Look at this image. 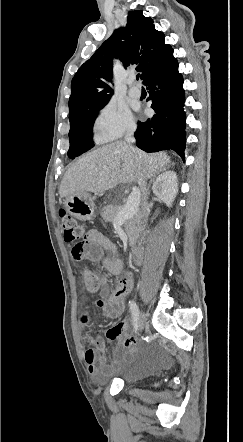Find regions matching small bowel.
Segmentation results:
<instances>
[{
	"mask_svg": "<svg viewBox=\"0 0 243 442\" xmlns=\"http://www.w3.org/2000/svg\"><path fill=\"white\" fill-rule=\"evenodd\" d=\"M85 239L87 246L83 258L100 264L112 275L123 274V260L118 256L116 246L109 238L101 231L91 229L86 233ZM101 281L103 287L98 292L99 299L96 300L95 305L100 308L105 318L118 319L124 311V298L132 289V277L131 275L123 276L114 289L105 286L106 278H101ZM89 321L90 307L83 306L79 311V324L83 343L88 346L83 357L91 377L97 382H102L108 379L115 371L116 366L128 356L126 350L133 347L135 339L126 332L129 326L127 319L118 321L108 328L105 337H93L87 329ZM105 341L117 344L110 363L107 362L104 354Z\"/></svg>",
	"mask_w": 243,
	"mask_h": 442,
	"instance_id": "small-bowel-1",
	"label": "small bowel"
}]
</instances>
